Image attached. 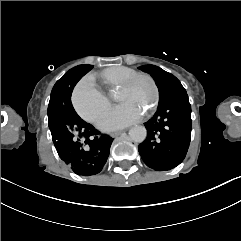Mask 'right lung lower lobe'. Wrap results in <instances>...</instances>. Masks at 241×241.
<instances>
[{"label":"right lung lower lobe","instance_id":"98d812e1","mask_svg":"<svg viewBox=\"0 0 241 241\" xmlns=\"http://www.w3.org/2000/svg\"><path fill=\"white\" fill-rule=\"evenodd\" d=\"M92 68L91 65H79L69 81V88L73 91L76 83ZM97 134L91 124L78 116L61 124L55 136L53 142L59 157L78 175L99 173L108 159L113 139Z\"/></svg>","mask_w":241,"mask_h":241}]
</instances>
